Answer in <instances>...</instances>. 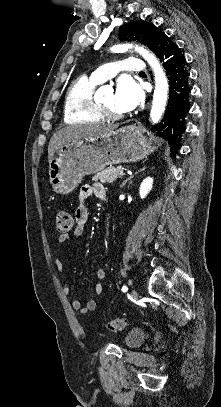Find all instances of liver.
Instances as JSON below:
<instances>
[{
  "label": "liver",
  "mask_w": 221,
  "mask_h": 407,
  "mask_svg": "<svg viewBox=\"0 0 221 407\" xmlns=\"http://www.w3.org/2000/svg\"><path fill=\"white\" fill-rule=\"evenodd\" d=\"M117 125L106 124H85L66 126L56 131L50 139L48 145V161L50 162L56 150L69 142H76L82 139H93L99 135L115 130Z\"/></svg>",
  "instance_id": "6515ba94"
}]
</instances>
